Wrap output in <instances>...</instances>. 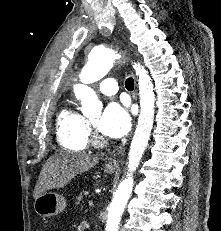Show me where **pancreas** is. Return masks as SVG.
<instances>
[{"mask_svg": "<svg viewBox=\"0 0 221 231\" xmlns=\"http://www.w3.org/2000/svg\"><path fill=\"white\" fill-rule=\"evenodd\" d=\"M87 191L80 192L78 196H76V205H80L81 203H84V195H87Z\"/></svg>", "mask_w": 221, "mask_h": 231, "instance_id": "1", "label": "pancreas"}]
</instances>
